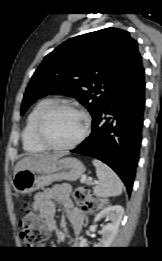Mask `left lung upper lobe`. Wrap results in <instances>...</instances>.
I'll list each match as a JSON object with an SVG mask.
<instances>
[{"instance_id": "1", "label": "left lung upper lobe", "mask_w": 162, "mask_h": 261, "mask_svg": "<svg viewBox=\"0 0 162 261\" xmlns=\"http://www.w3.org/2000/svg\"><path fill=\"white\" fill-rule=\"evenodd\" d=\"M141 63L137 41L125 30L106 28L71 38L48 54L35 71L21 115L37 99L59 94L76 98L93 116L111 90Z\"/></svg>"}]
</instances>
